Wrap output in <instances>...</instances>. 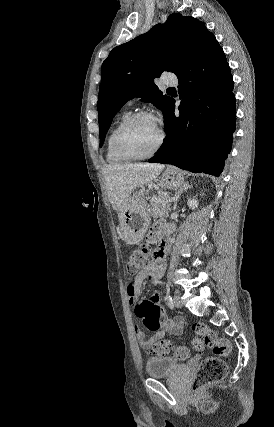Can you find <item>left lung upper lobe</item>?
Segmentation results:
<instances>
[{
	"label": "left lung upper lobe",
	"instance_id": "1",
	"mask_svg": "<svg viewBox=\"0 0 274 427\" xmlns=\"http://www.w3.org/2000/svg\"><path fill=\"white\" fill-rule=\"evenodd\" d=\"M213 37L203 22L175 13L164 24L115 47L102 64L97 103L100 147L113 117L130 98L142 97L164 113L172 98L162 95L153 79L164 71L178 75Z\"/></svg>",
	"mask_w": 274,
	"mask_h": 427
}]
</instances>
